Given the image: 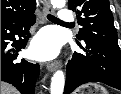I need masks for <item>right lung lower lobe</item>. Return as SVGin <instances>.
<instances>
[{
    "label": "right lung lower lobe",
    "mask_w": 121,
    "mask_h": 94,
    "mask_svg": "<svg viewBox=\"0 0 121 94\" xmlns=\"http://www.w3.org/2000/svg\"><path fill=\"white\" fill-rule=\"evenodd\" d=\"M34 10L1 21V80L15 86L22 94H34L35 80L39 75V65L22 59L17 61L18 52L26 46L29 29L35 23ZM15 35L19 36L16 40ZM8 41H13L14 53L7 51Z\"/></svg>",
    "instance_id": "1"
}]
</instances>
